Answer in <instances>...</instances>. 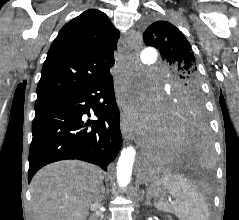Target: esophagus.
Returning <instances> with one entry per match:
<instances>
[{"label":"esophagus","instance_id":"34e87169","mask_svg":"<svg viewBox=\"0 0 239 220\" xmlns=\"http://www.w3.org/2000/svg\"><path fill=\"white\" fill-rule=\"evenodd\" d=\"M118 53H119V59L122 60L128 56V51L124 46L123 42L118 43ZM121 88V83H119L118 79L114 80L113 83V92H120ZM115 101L117 102V107H119V113H120V118L118 119L119 123H122V134L125 140L129 139V136L126 132V129L124 127V122L126 118V99H124V94L123 93H116L115 94Z\"/></svg>","mask_w":239,"mask_h":220}]
</instances>
